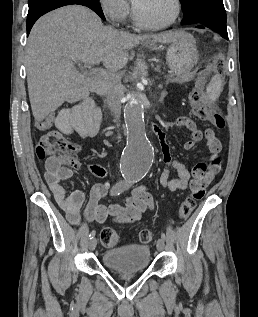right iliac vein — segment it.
Masks as SVG:
<instances>
[{
  "instance_id": "right-iliac-vein-1",
  "label": "right iliac vein",
  "mask_w": 258,
  "mask_h": 317,
  "mask_svg": "<svg viewBox=\"0 0 258 317\" xmlns=\"http://www.w3.org/2000/svg\"><path fill=\"white\" fill-rule=\"evenodd\" d=\"M97 244H98V241L93 238V239H91V240L89 241L88 248H89L90 250H95Z\"/></svg>"
}]
</instances>
